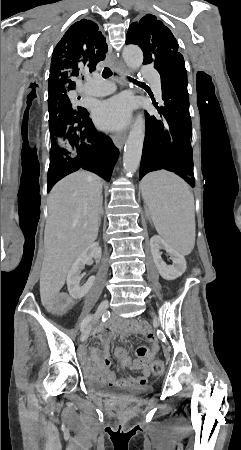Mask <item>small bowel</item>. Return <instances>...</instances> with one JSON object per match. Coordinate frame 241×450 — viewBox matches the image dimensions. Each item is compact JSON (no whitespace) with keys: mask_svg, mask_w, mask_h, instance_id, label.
Wrapping results in <instances>:
<instances>
[{"mask_svg":"<svg viewBox=\"0 0 241 450\" xmlns=\"http://www.w3.org/2000/svg\"><path fill=\"white\" fill-rule=\"evenodd\" d=\"M49 312L58 313L60 309L68 307V302L58 300L55 304L50 302ZM55 305V306H54ZM137 333L149 342V346H139L135 350V358H131L123 347H116L114 357L125 368L138 369L141 375L137 377H118L111 369L109 356L110 342L113 336L125 337L128 334ZM93 336L102 344V350L92 349L91 356L85 358L84 368L88 370L93 382L107 387L138 386L145 387L149 384L151 376V363L155 361L160 350V344L151 328L136 320H121L109 326H99L93 330Z\"/></svg>","mask_w":241,"mask_h":450,"instance_id":"obj_1","label":"small bowel"}]
</instances>
